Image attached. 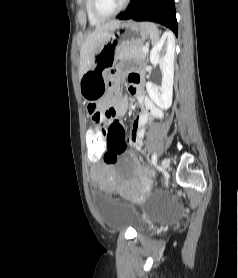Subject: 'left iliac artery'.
Listing matches in <instances>:
<instances>
[{
    "instance_id": "1",
    "label": "left iliac artery",
    "mask_w": 238,
    "mask_h": 278,
    "mask_svg": "<svg viewBox=\"0 0 238 278\" xmlns=\"http://www.w3.org/2000/svg\"><path fill=\"white\" fill-rule=\"evenodd\" d=\"M157 163V154L154 152L152 155V164L155 165Z\"/></svg>"
}]
</instances>
